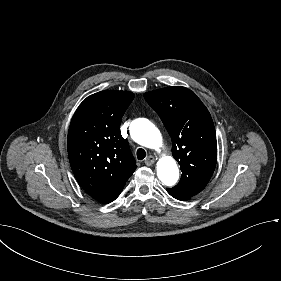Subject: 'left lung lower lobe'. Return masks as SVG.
Here are the masks:
<instances>
[{"label":"left lung lower lobe","instance_id":"obj_1","mask_svg":"<svg viewBox=\"0 0 281 281\" xmlns=\"http://www.w3.org/2000/svg\"><path fill=\"white\" fill-rule=\"evenodd\" d=\"M167 192L172 196L174 197L175 199H178V200H188L191 198V196L187 195V194H184V193H180V192H177L175 191L174 189L172 188H167Z\"/></svg>","mask_w":281,"mask_h":281}]
</instances>
